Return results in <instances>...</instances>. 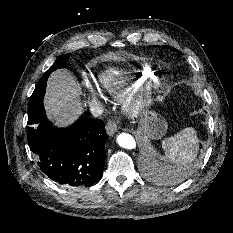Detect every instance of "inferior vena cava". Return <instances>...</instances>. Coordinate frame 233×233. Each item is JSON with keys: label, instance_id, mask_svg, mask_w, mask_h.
Masks as SVG:
<instances>
[{"label": "inferior vena cava", "instance_id": "obj_1", "mask_svg": "<svg viewBox=\"0 0 233 233\" xmlns=\"http://www.w3.org/2000/svg\"><path fill=\"white\" fill-rule=\"evenodd\" d=\"M90 110H91V113L93 114V116H95V117L101 116L104 112V108H103L102 104L96 100H94L90 103Z\"/></svg>", "mask_w": 233, "mask_h": 233}]
</instances>
